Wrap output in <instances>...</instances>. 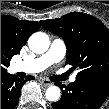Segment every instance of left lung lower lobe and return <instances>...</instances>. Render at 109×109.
<instances>
[{
	"label": "left lung lower lobe",
	"instance_id": "obj_1",
	"mask_svg": "<svg viewBox=\"0 0 109 109\" xmlns=\"http://www.w3.org/2000/svg\"><path fill=\"white\" fill-rule=\"evenodd\" d=\"M108 95V82L93 77L76 78L75 82L65 87L61 99L52 103V107L53 109H98Z\"/></svg>",
	"mask_w": 109,
	"mask_h": 109
}]
</instances>
